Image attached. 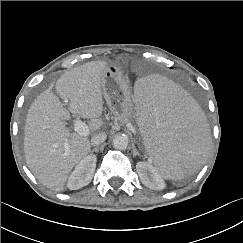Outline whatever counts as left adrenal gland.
<instances>
[{
    "label": "left adrenal gland",
    "mask_w": 243,
    "mask_h": 243,
    "mask_svg": "<svg viewBox=\"0 0 243 243\" xmlns=\"http://www.w3.org/2000/svg\"><path fill=\"white\" fill-rule=\"evenodd\" d=\"M133 155L134 156L139 155V152L137 151V149L135 147H133Z\"/></svg>",
    "instance_id": "obj_1"
}]
</instances>
